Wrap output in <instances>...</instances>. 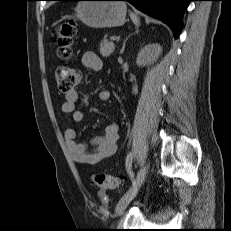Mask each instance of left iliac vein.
Returning <instances> with one entry per match:
<instances>
[{"instance_id": "obj_1", "label": "left iliac vein", "mask_w": 231, "mask_h": 231, "mask_svg": "<svg viewBox=\"0 0 231 231\" xmlns=\"http://www.w3.org/2000/svg\"><path fill=\"white\" fill-rule=\"evenodd\" d=\"M148 171V164H143L139 169L136 178L129 189V191L121 198L115 209V215H121L129 203L134 199L142 184L145 181L146 174Z\"/></svg>"}]
</instances>
